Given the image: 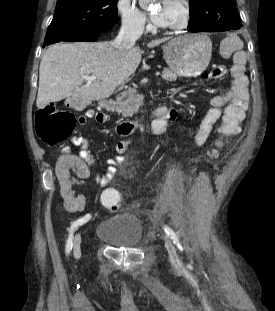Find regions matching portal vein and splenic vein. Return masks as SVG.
<instances>
[{"instance_id":"portal-vein-and-splenic-vein-1","label":"portal vein and splenic vein","mask_w":275,"mask_h":311,"mask_svg":"<svg viewBox=\"0 0 275 311\" xmlns=\"http://www.w3.org/2000/svg\"><path fill=\"white\" fill-rule=\"evenodd\" d=\"M155 75L156 76L160 75V72H156ZM82 79H84V80H86L88 82H92V81L96 80L97 77L95 75H83Z\"/></svg>"}]
</instances>
